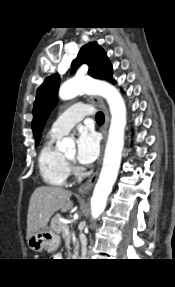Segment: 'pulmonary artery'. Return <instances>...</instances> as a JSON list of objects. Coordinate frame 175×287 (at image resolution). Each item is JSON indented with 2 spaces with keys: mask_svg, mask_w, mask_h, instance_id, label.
Segmentation results:
<instances>
[{
  "mask_svg": "<svg viewBox=\"0 0 175 287\" xmlns=\"http://www.w3.org/2000/svg\"><path fill=\"white\" fill-rule=\"evenodd\" d=\"M91 114H93V110L89 105L74 104L54 121L50 133L62 136L68 133L75 124L83 120L85 116Z\"/></svg>",
  "mask_w": 175,
  "mask_h": 287,
  "instance_id": "pulmonary-artery-1",
  "label": "pulmonary artery"
}]
</instances>
